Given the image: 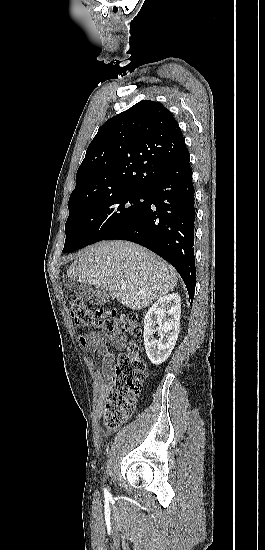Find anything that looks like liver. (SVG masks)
Here are the masks:
<instances>
[{"instance_id": "obj_1", "label": "liver", "mask_w": 265, "mask_h": 550, "mask_svg": "<svg viewBox=\"0 0 265 550\" xmlns=\"http://www.w3.org/2000/svg\"><path fill=\"white\" fill-rule=\"evenodd\" d=\"M67 276L109 291L122 305L141 310L173 291L176 270L148 249L122 240L102 241L78 252ZM120 284L126 289L119 288Z\"/></svg>"}]
</instances>
